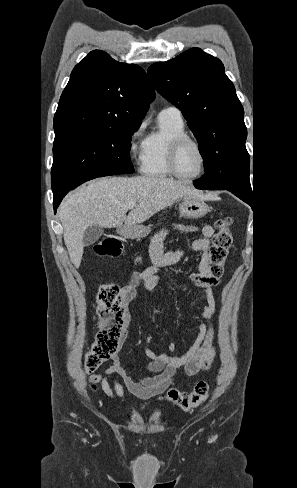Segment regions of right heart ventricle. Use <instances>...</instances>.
I'll return each mask as SVG.
<instances>
[{"mask_svg": "<svg viewBox=\"0 0 297 488\" xmlns=\"http://www.w3.org/2000/svg\"><path fill=\"white\" fill-rule=\"evenodd\" d=\"M185 134L182 118L160 115L157 128L145 138L140 159L141 172L155 178L171 177L172 173L167 166L168 148L174 138Z\"/></svg>", "mask_w": 297, "mask_h": 488, "instance_id": "e07e8e85", "label": "right heart ventricle"}]
</instances>
